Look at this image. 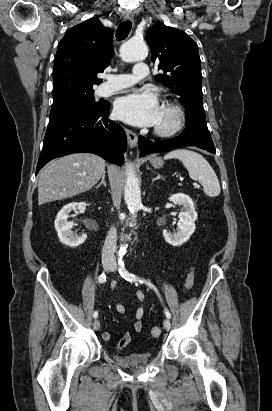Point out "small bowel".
<instances>
[{
  "label": "small bowel",
  "mask_w": 272,
  "mask_h": 411,
  "mask_svg": "<svg viewBox=\"0 0 272 411\" xmlns=\"http://www.w3.org/2000/svg\"><path fill=\"white\" fill-rule=\"evenodd\" d=\"M116 286V283H112V288L114 289ZM135 296L137 298V300L140 302V306L137 308L136 312H135V316H134V325H133V331L134 333H140L142 330V318L144 315V306L143 303L145 302L146 298L144 293L141 290H136L135 291ZM115 309L118 313L120 314H125L126 310L125 307L119 303L116 302L115 303ZM103 340L105 341H109L111 339V334L109 332H105L103 334ZM133 338V333L128 331L126 332L122 338L120 339V341L118 342V344L115 346V350L117 352H124L126 349L127 344L132 340Z\"/></svg>",
  "instance_id": "c3829d8e"
}]
</instances>
